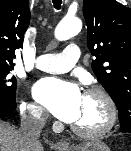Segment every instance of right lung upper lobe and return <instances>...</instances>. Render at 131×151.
Listing matches in <instances>:
<instances>
[{"label":"right lung upper lobe","instance_id":"cb5924a9","mask_svg":"<svg viewBox=\"0 0 131 151\" xmlns=\"http://www.w3.org/2000/svg\"><path fill=\"white\" fill-rule=\"evenodd\" d=\"M29 21L28 0H0V66H14Z\"/></svg>","mask_w":131,"mask_h":151}]
</instances>
